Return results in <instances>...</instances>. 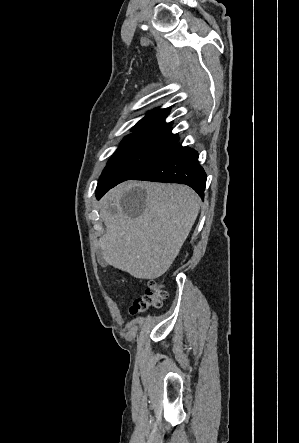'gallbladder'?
<instances>
[{
	"mask_svg": "<svg viewBox=\"0 0 299 443\" xmlns=\"http://www.w3.org/2000/svg\"><path fill=\"white\" fill-rule=\"evenodd\" d=\"M97 257H98V260L99 261H103V254H102V250L101 249H99L98 251H97Z\"/></svg>",
	"mask_w": 299,
	"mask_h": 443,
	"instance_id": "obj_1",
	"label": "gallbladder"
}]
</instances>
